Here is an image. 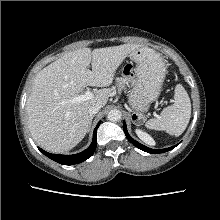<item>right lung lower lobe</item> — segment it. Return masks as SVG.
<instances>
[{
	"instance_id": "1",
	"label": "right lung lower lobe",
	"mask_w": 220,
	"mask_h": 220,
	"mask_svg": "<svg viewBox=\"0 0 220 220\" xmlns=\"http://www.w3.org/2000/svg\"><path fill=\"white\" fill-rule=\"evenodd\" d=\"M99 125H100V122L97 124L96 128L94 129L93 140H92L91 145L81 153L74 154V155H59V154L48 153V152L42 150L41 148H39V150L44 155L49 157L50 159H52L60 164H63V165H72V164L81 163V162L85 161L86 159H88L89 157H91L96 149V146H97L96 132H97Z\"/></svg>"
}]
</instances>
